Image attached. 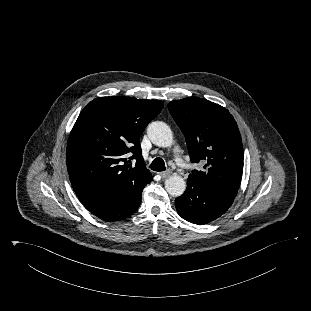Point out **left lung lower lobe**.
<instances>
[{
  "mask_svg": "<svg viewBox=\"0 0 311 311\" xmlns=\"http://www.w3.org/2000/svg\"><path fill=\"white\" fill-rule=\"evenodd\" d=\"M233 201L234 198L189 176L186 191L176 198L175 206L183 219L195 224H207L225 213Z\"/></svg>",
  "mask_w": 311,
  "mask_h": 311,
  "instance_id": "1",
  "label": "left lung lower lobe"
}]
</instances>
